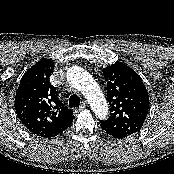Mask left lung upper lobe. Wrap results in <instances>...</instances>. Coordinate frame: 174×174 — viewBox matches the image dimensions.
Returning <instances> with one entry per match:
<instances>
[{
	"instance_id": "5c2ea615",
	"label": "left lung upper lobe",
	"mask_w": 174,
	"mask_h": 174,
	"mask_svg": "<svg viewBox=\"0 0 174 174\" xmlns=\"http://www.w3.org/2000/svg\"><path fill=\"white\" fill-rule=\"evenodd\" d=\"M111 107L101 126L112 136L124 138L138 132L147 117L149 95L140 76L129 66L117 62L103 69Z\"/></svg>"
}]
</instances>
